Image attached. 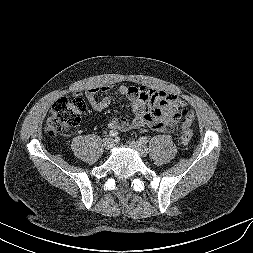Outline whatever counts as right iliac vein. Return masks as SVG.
Wrapping results in <instances>:
<instances>
[{
	"label": "right iliac vein",
	"instance_id": "63e3f726",
	"mask_svg": "<svg viewBox=\"0 0 253 253\" xmlns=\"http://www.w3.org/2000/svg\"><path fill=\"white\" fill-rule=\"evenodd\" d=\"M114 145H115L114 140L111 138H108L104 141V146L107 150L112 149Z\"/></svg>",
	"mask_w": 253,
	"mask_h": 253
}]
</instances>
